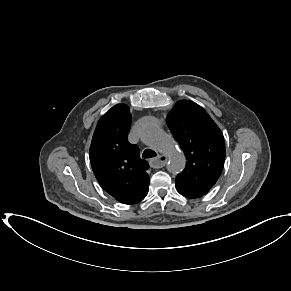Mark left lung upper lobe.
<instances>
[{
    "instance_id": "1",
    "label": "left lung upper lobe",
    "mask_w": 291,
    "mask_h": 291,
    "mask_svg": "<svg viewBox=\"0 0 291 291\" xmlns=\"http://www.w3.org/2000/svg\"><path fill=\"white\" fill-rule=\"evenodd\" d=\"M167 124L187 159L185 169L175 179L176 189L184 197L199 198L221 175L225 160L223 134L209 114L189 100L176 103Z\"/></svg>"
}]
</instances>
